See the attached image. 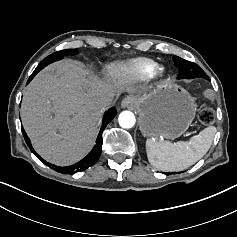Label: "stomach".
<instances>
[{"mask_svg": "<svg viewBox=\"0 0 237 237\" xmlns=\"http://www.w3.org/2000/svg\"><path fill=\"white\" fill-rule=\"evenodd\" d=\"M132 96L144 136L175 139L186 132L195 118L194 97L172 80H164L150 91L136 89Z\"/></svg>", "mask_w": 237, "mask_h": 237, "instance_id": "stomach-1", "label": "stomach"}]
</instances>
